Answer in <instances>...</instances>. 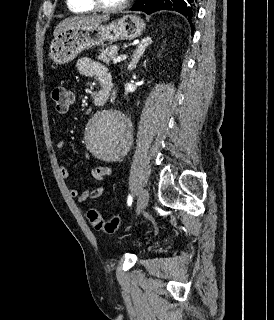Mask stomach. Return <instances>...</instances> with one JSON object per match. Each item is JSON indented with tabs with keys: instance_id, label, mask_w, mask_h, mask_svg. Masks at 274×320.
<instances>
[{
	"instance_id": "stomach-1",
	"label": "stomach",
	"mask_w": 274,
	"mask_h": 320,
	"mask_svg": "<svg viewBox=\"0 0 274 320\" xmlns=\"http://www.w3.org/2000/svg\"><path fill=\"white\" fill-rule=\"evenodd\" d=\"M145 24L138 16H122L109 24H93V26H76L67 28L55 36L49 56L54 64H68L84 50L93 46H102L104 42L118 40H134L141 36Z\"/></svg>"
}]
</instances>
